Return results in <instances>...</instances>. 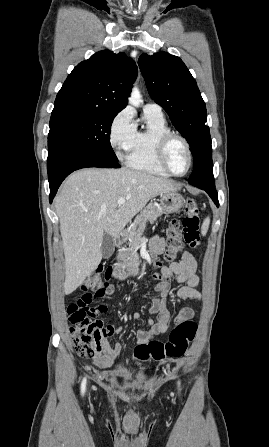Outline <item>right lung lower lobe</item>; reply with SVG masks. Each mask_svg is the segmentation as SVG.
I'll return each mask as SVG.
<instances>
[{"label":"right lung lower lobe","mask_w":269,"mask_h":447,"mask_svg":"<svg viewBox=\"0 0 269 447\" xmlns=\"http://www.w3.org/2000/svg\"><path fill=\"white\" fill-rule=\"evenodd\" d=\"M48 151L50 203H52L62 181L74 170L88 167L120 168L118 160L68 145L56 139H48Z\"/></svg>","instance_id":"right-lung-lower-lobe-1"}]
</instances>
